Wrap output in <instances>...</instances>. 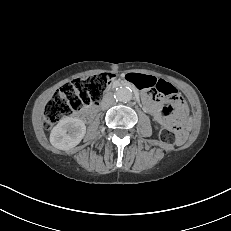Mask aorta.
<instances>
[{
  "mask_svg": "<svg viewBox=\"0 0 231 231\" xmlns=\"http://www.w3.org/2000/svg\"><path fill=\"white\" fill-rule=\"evenodd\" d=\"M132 97H133L132 90L127 87H120L115 92V98L123 103H127L131 101Z\"/></svg>",
  "mask_w": 231,
  "mask_h": 231,
  "instance_id": "1",
  "label": "aorta"
}]
</instances>
